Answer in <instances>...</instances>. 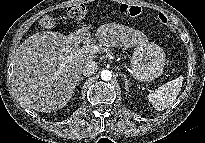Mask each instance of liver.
<instances>
[{
    "instance_id": "obj_1",
    "label": "liver",
    "mask_w": 205,
    "mask_h": 143,
    "mask_svg": "<svg viewBox=\"0 0 205 143\" xmlns=\"http://www.w3.org/2000/svg\"><path fill=\"white\" fill-rule=\"evenodd\" d=\"M88 29L81 28L69 35L38 32L16 49L12 77L22 105L45 113L56 112L66 106L83 66L96 58L94 53L79 46ZM95 36L106 47L131 48L148 42L142 32L116 23L100 26ZM70 54H73L72 59H65Z\"/></svg>"
}]
</instances>
